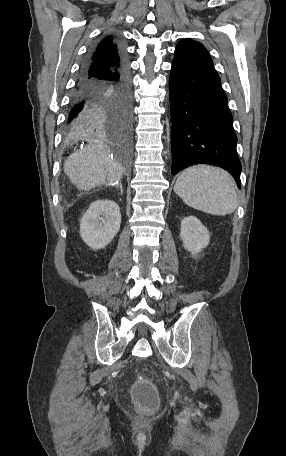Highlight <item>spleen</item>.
<instances>
[{
    "mask_svg": "<svg viewBox=\"0 0 286 456\" xmlns=\"http://www.w3.org/2000/svg\"><path fill=\"white\" fill-rule=\"evenodd\" d=\"M185 204L208 214L224 216L237 208L236 186L225 170L207 165L185 169L174 186Z\"/></svg>",
    "mask_w": 286,
    "mask_h": 456,
    "instance_id": "1",
    "label": "spleen"
}]
</instances>
